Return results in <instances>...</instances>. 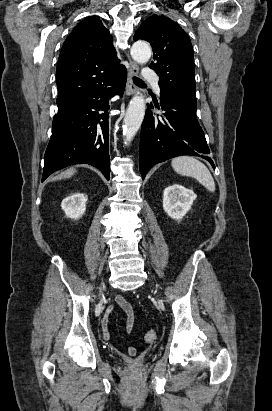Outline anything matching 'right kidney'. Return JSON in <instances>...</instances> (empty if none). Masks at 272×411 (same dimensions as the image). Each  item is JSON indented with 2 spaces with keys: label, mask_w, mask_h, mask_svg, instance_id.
<instances>
[{
  "label": "right kidney",
  "mask_w": 272,
  "mask_h": 411,
  "mask_svg": "<svg viewBox=\"0 0 272 411\" xmlns=\"http://www.w3.org/2000/svg\"><path fill=\"white\" fill-rule=\"evenodd\" d=\"M87 200L86 194L77 192L63 199L61 208L67 217L77 220L84 214Z\"/></svg>",
  "instance_id": "right-kidney-1"
}]
</instances>
